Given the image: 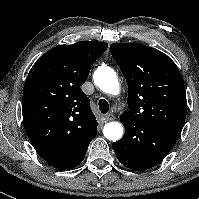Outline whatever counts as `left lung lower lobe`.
Wrapping results in <instances>:
<instances>
[{"instance_id":"0a47b994","label":"left lung lower lobe","mask_w":199,"mask_h":199,"mask_svg":"<svg viewBox=\"0 0 199 199\" xmlns=\"http://www.w3.org/2000/svg\"><path fill=\"white\" fill-rule=\"evenodd\" d=\"M121 122L125 134L112 147L118 160L129 169L152 168L167 156L178 140L133 118Z\"/></svg>"}]
</instances>
